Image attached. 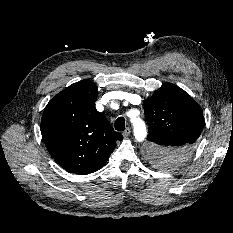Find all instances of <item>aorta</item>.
<instances>
[{
    "mask_svg": "<svg viewBox=\"0 0 233 233\" xmlns=\"http://www.w3.org/2000/svg\"><path fill=\"white\" fill-rule=\"evenodd\" d=\"M131 121L136 140L139 142L143 141L147 134V129L144 121L140 118H134Z\"/></svg>",
    "mask_w": 233,
    "mask_h": 233,
    "instance_id": "1",
    "label": "aorta"
}]
</instances>
